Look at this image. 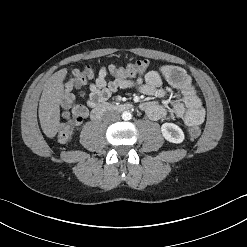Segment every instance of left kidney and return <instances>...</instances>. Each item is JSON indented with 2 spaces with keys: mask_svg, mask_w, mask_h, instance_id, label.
<instances>
[{
  "mask_svg": "<svg viewBox=\"0 0 247 247\" xmlns=\"http://www.w3.org/2000/svg\"><path fill=\"white\" fill-rule=\"evenodd\" d=\"M163 137L171 143H182L185 139L182 129L174 123H164L161 126Z\"/></svg>",
  "mask_w": 247,
  "mask_h": 247,
  "instance_id": "1",
  "label": "left kidney"
}]
</instances>
